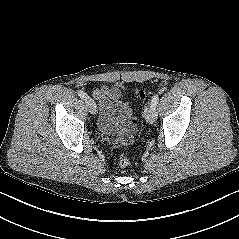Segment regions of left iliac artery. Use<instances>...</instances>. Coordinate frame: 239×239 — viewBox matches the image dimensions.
<instances>
[{"label":"left iliac artery","mask_w":239,"mask_h":239,"mask_svg":"<svg viewBox=\"0 0 239 239\" xmlns=\"http://www.w3.org/2000/svg\"><path fill=\"white\" fill-rule=\"evenodd\" d=\"M158 101H159V95H155L153 98H152V101H151V104L156 106L158 104Z\"/></svg>","instance_id":"1"}]
</instances>
